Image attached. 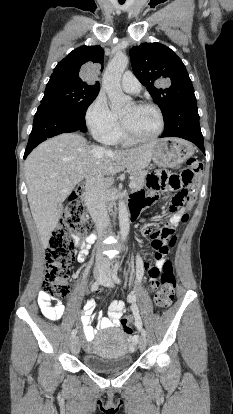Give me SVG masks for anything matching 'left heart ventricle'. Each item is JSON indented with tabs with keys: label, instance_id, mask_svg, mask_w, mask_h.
I'll list each match as a JSON object with an SVG mask.
<instances>
[{
	"label": "left heart ventricle",
	"instance_id": "left-heart-ventricle-1",
	"mask_svg": "<svg viewBox=\"0 0 233 414\" xmlns=\"http://www.w3.org/2000/svg\"><path fill=\"white\" fill-rule=\"evenodd\" d=\"M120 117L129 128L141 137H149L155 134L160 126L157 112L152 108H140L130 104L120 112Z\"/></svg>",
	"mask_w": 233,
	"mask_h": 414
}]
</instances>
